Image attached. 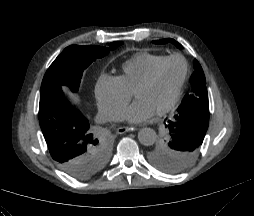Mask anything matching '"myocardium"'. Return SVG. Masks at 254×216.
I'll return each mask as SVG.
<instances>
[{
	"instance_id": "1",
	"label": "myocardium",
	"mask_w": 254,
	"mask_h": 216,
	"mask_svg": "<svg viewBox=\"0 0 254 216\" xmlns=\"http://www.w3.org/2000/svg\"><path fill=\"white\" fill-rule=\"evenodd\" d=\"M170 60H179L182 62L184 70H183V74H182V78L180 80V83L172 97V99L169 101V103L167 105H165L162 109H160L159 111H157V115H164L166 113H168L170 110H172L174 108V106L177 104L181 93L183 91L184 85L186 83L188 74H189V63L187 61V59L180 55V54H172L169 56L164 57L161 61H159L154 68L151 70V72L148 74V76L136 87V89L134 90L133 94L135 96V93L143 88H146L148 86H150L157 78L161 68L163 67V65L170 61Z\"/></svg>"
}]
</instances>
